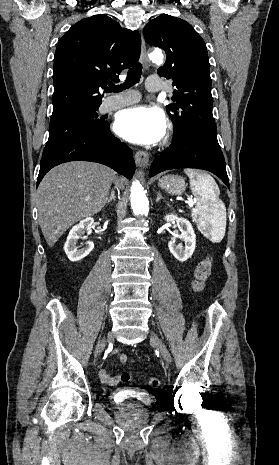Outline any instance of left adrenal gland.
<instances>
[{
  "instance_id": "1",
  "label": "left adrenal gland",
  "mask_w": 279,
  "mask_h": 465,
  "mask_svg": "<svg viewBox=\"0 0 279 465\" xmlns=\"http://www.w3.org/2000/svg\"><path fill=\"white\" fill-rule=\"evenodd\" d=\"M161 199H164V197H162L160 192H157L156 202H159Z\"/></svg>"
}]
</instances>
